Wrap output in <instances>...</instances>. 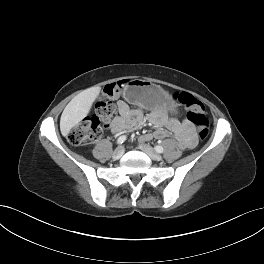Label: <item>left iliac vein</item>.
I'll list each match as a JSON object with an SVG mask.
<instances>
[{
	"label": "left iliac vein",
	"mask_w": 264,
	"mask_h": 264,
	"mask_svg": "<svg viewBox=\"0 0 264 264\" xmlns=\"http://www.w3.org/2000/svg\"><path fill=\"white\" fill-rule=\"evenodd\" d=\"M139 148L153 160L160 161L162 159V157L158 153H156L151 146L147 144H140Z\"/></svg>",
	"instance_id": "4c4485c4"
}]
</instances>
